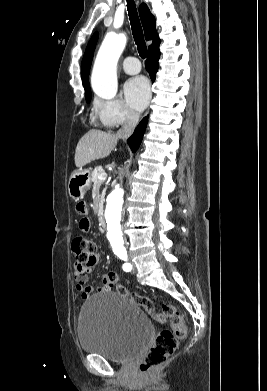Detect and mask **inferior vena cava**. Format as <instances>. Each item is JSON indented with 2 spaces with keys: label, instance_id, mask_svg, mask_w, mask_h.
I'll use <instances>...</instances> for the list:
<instances>
[{
  "label": "inferior vena cava",
  "instance_id": "602c4592",
  "mask_svg": "<svg viewBox=\"0 0 267 391\" xmlns=\"http://www.w3.org/2000/svg\"><path fill=\"white\" fill-rule=\"evenodd\" d=\"M138 121H139V114L134 111H129L126 115L124 124L119 129L116 136L123 140L129 138L133 133Z\"/></svg>",
  "mask_w": 267,
  "mask_h": 391
}]
</instances>
